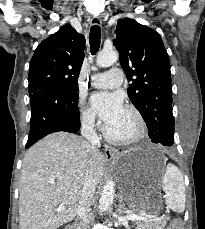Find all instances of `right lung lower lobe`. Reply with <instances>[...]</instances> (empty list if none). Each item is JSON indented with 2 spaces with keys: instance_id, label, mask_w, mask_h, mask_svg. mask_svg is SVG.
Segmentation results:
<instances>
[{
  "instance_id": "right-lung-lower-lobe-1",
  "label": "right lung lower lobe",
  "mask_w": 205,
  "mask_h": 229,
  "mask_svg": "<svg viewBox=\"0 0 205 229\" xmlns=\"http://www.w3.org/2000/svg\"><path fill=\"white\" fill-rule=\"evenodd\" d=\"M30 133L25 148L56 131L76 133L80 128L78 96L68 89L49 87L30 95Z\"/></svg>"
}]
</instances>
